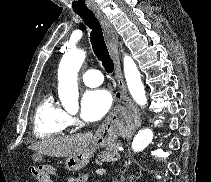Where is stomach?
Returning <instances> with one entry per match:
<instances>
[{
	"instance_id": "stomach-1",
	"label": "stomach",
	"mask_w": 211,
	"mask_h": 182,
	"mask_svg": "<svg viewBox=\"0 0 211 182\" xmlns=\"http://www.w3.org/2000/svg\"><path fill=\"white\" fill-rule=\"evenodd\" d=\"M118 136L119 133L112 128L98 131L86 150L65 159V168L71 172L83 169L89 163L97 149L112 146ZM32 158L34 161H40L41 155L35 154Z\"/></svg>"
}]
</instances>
